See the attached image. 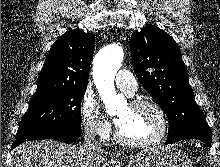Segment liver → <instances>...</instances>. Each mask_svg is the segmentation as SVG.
Masks as SVG:
<instances>
[{
    "label": "liver",
    "mask_w": 220,
    "mask_h": 167,
    "mask_svg": "<svg viewBox=\"0 0 220 167\" xmlns=\"http://www.w3.org/2000/svg\"><path fill=\"white\" fill-rule=\"evenodd\" d=\"M106 153L52 140L24 142L12 152L10 167H101Z\"/></svg>",
    "instance_id": "obj_1"
}]
</instances>
